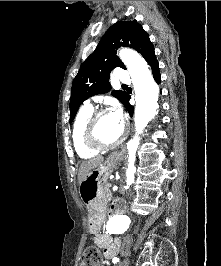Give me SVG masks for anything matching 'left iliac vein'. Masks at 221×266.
I'll return each mask as SVG.
<instances>
[{"label": "left iliac vein", "mask_w": 221, "mask_h": 266, "mask_svg": "<svg viewBox=\"0 0 221 266\" xmlns=\"http://www.w3.org/2000/svg\"><path fill=\"white\" fill-rule=\"evenodd\" d=\"M129 264H130V260L127 258V259L123 260V261L119 264V266H129Z\"/></svg>", "instance_id": "1"}]
</instances>
